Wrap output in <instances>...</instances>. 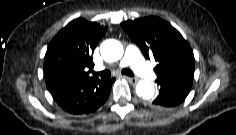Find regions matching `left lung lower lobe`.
Listing matches in <instances>:
<instances>
[{"mask_svg":"<svg viewBox=\"0 0 236 135\" xmlns=\"http://www.w3.org/2000/svg\"><path fill=\"white\" fill-rule=\"evenodd\" d=\"M192 78L174 77L157 80L160 86L159 95L152 101L155 108H173L180 105L187 97L191 86Z\"/></svg>","mask_w":236,"mask_h":135,"instance_id":"left-lung-lower-lobe-1","label":"left lung lower lobe"}]
</instances>
